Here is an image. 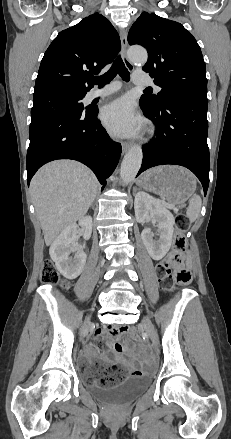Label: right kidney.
I'll return each instance as SVG.
<instances>
[{
	"mask_svg": "<svg viewBox=\"0 0 231 439\" xmlns=\"http://www.w3.org/2000/svg\"><path fill=\"white\" fill-rule=\"evenodd\" d=\"M84 228V239H88L92 232V218L86 216L79 221ZM77 224H71L65 228L52 243L49 254L55 262L58 271L66 279H75L83 271L87 255L76 241ZM74 254V257L70 256Z\"/></svg>",
	"mask_w": 231,
	"mask_h": 439,
	"instance_id": "1",
	"label": "right kidney"
}]
</instances>
